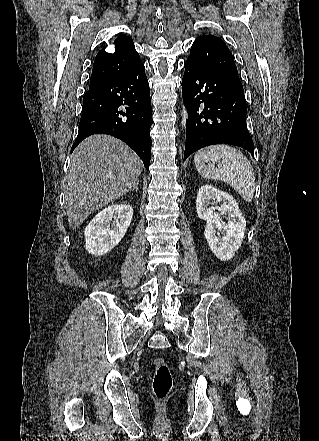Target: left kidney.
Instances as JSON below:
<instances>
[{
  "label": "left kidney",
  "instance_id": "obj_1",
  "mask_svg": "<svg viewBox=\"0 0 319 441\" xmlns=\"http://www.w3.org/2000/svg\"><path fill=\"white\" fill-rule=\"evenodd\" d=\"M211 202L222 204L214 208L210 207ZM196 210L198 217L207 222L204 235L214 255L221 261L233 258L235 251L241 246L246 230V220L236 200L206 184L199 188ZM213 210H218L219 213H213ZM221 215H227V222L222 221Z\"/></svg>",
  "mask_w": 319,
  "mask_h": 441
}]
</instances>
